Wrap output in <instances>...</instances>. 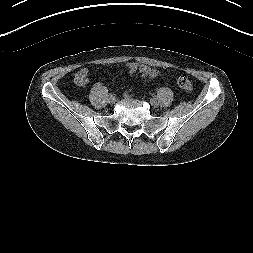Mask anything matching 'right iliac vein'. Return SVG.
<instances>
[{"instance_id": "obj_1", "label": "right iliac vein", "mask_w": 253, "mask_h": 253, "mask_svg": "<svg viewBox=\"0 0 253 253\" xmlns=\"http://www.w3.org/2000/svg\"><path fill=\"white\" fill-rule=\"evenodd\" d=\"M115 101H116V98H115L114 96L109 97V101H108V102H109L110 104H114Z\"/></svg>"}]
</instances>
